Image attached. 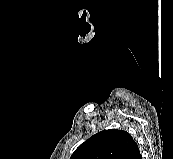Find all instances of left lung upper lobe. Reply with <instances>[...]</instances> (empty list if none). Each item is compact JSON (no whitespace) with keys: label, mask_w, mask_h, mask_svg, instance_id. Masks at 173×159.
I'll list each match as a JSON object with an SVG mask.
<instances>
[{"label":"left lung upper lobe","mask_w":173,"mask_h":159,"mask_svg":"<svg viewBox=\"0 0 173 159\" xmlns=\"http://www.w3.org/2000/svg\"><path fill=\"white\" fill-rule=\"evenodd\" d=\"M139 153L138 145L129 133L109 129L87 139L70 159H136Z\"/></svg>","instance_id":"1"}]
</instances>
